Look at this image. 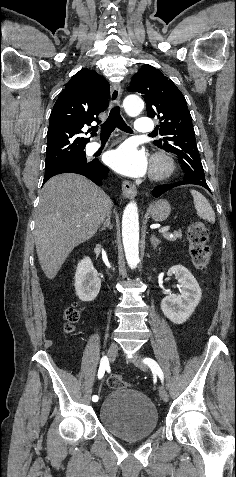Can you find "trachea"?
<instances>
[{
    "label": "trachea",
    "instance_id": "obj_1",
    "mask_svg": "<svg viewBox=\"0 0 236 477\" xmlns=\"http://www.w3.org/2000/svg\"><path fill=\"white\" fill-rule=\"evenodd\" d=\"M118 127L120 130L127 133H132V129L125 123L121 114L120 107L115 106L111 109L109 116L105 123L101 126V138L110 137L111 133Z\"/></svg>",
    "mask_w": 236,
    "mask_h": 477
}]
</instances>
